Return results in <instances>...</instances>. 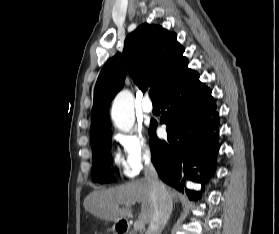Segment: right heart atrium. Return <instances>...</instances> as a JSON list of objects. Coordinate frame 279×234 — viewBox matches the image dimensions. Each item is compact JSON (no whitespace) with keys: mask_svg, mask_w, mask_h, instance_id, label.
I'll use <instances>...</instances> for the list:
<instances>
[{"mask_svg":"<svg viewBox=\"0 0 279 234\" xmlns=\"http://www.w3.org/2000/svg\"><path fill=\"white\" fill-rule=\"evenodd\" d=\"M116 139L121 146V163L124 174L134 177L151 162L152 149L142 132L130 130L119 134Z\"/></svg>","mask_w":279,"mask_h":234,"instance_id":"obj_1","label":"right heart atrium"}]
</instances>
